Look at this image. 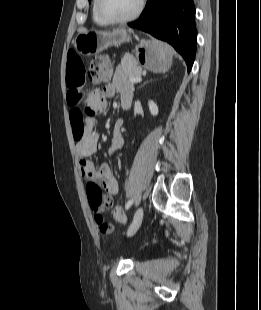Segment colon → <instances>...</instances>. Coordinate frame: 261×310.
<instances>
[{
    "instance_id": "5ec220e1",
    "label": "colon",
    "mask_w": 261,
    "mask_h": 310,
    "mask_svg": "<svg viewBox=\"0 0 261 310\" xmlns=\"http://www.w3.org/2000/svg\"><path fill=\"white\" fill-rule=\"evenodd\" d=\"M112 76V68L110 62L106 56L99 55L93 58L91 62V69L89 71V78L93 83H102L110 79ZM88 199L92 209L104 206L106 199L97 184L88 183ZM113 216L117 221H125V216L121 206H116L113 209ZM95 222L99 226V229L104 234L112 232V225L105 222L101 214L94 215Z\"/></svg>"
}]
</instances>
